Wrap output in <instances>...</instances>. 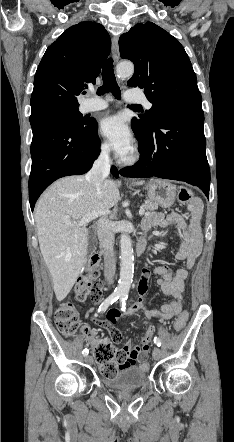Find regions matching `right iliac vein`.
I'll return each instance as SVG.
<instances>
[{"mask_svg":"<svg viewBox=\"0 0 234 442\" xmlns=\"http://www.w3.org/2000/svg\"><path fill=\"white\" fill-rule=\"evenodd\" d=\"M85 361H86L88 364H92L93 359H92L91 356H86Z\"/></svg>","mask_w":234,"mask_h":442,"instance_id":"right-iliac-vein-1","label":"right iliac vein"}]
</instances>
